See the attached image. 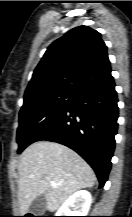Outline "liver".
<instances>
[{"mask_svg":"<svg viewBox=\"0 0 132 217\" xmlns=\"http://www.w3.org/2000/svg\"><path fill=\"white\" fill-rule=\"evenodd\" d=\"M18 200L21 216L32 201L44 194L50 212L56 211L77 190L93 187L92 168L70 148L49 141L31 144L22 153L18 165ZM54 181L57 186L51 185Z\"/></svg>","mask_w":132,"mask_h":217,"instance_id":"1","label":"liver"}]
</instances>
